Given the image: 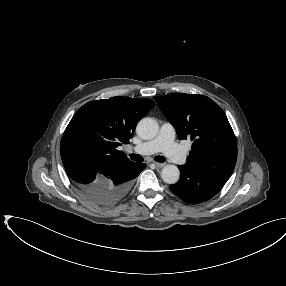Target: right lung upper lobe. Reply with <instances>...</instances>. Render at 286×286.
Segmentation results:
<instances>
[{
	"label": "right lung upper lobe",
	"instance_id": "obj_1",
	"mask_svg": "<svg viewBox=\"0 0 286 286\" xmlns=\"http://www.w3.org/2000/svg\"><path fill=\"white\" fill-rule=\"evenodd\" d=\"M154 106L150 99L128 97L88 102L75 113L62 140L80 142L106 170L129 164L132 161L117 147L129 143L137 122Z\"/></svg>",
	"mask_w": 286,
	"mask_h": 286
}]
</instances>
